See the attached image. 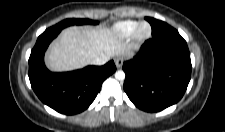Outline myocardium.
I'll use <instances>...</instances> for the list:
<instances>
[{
  "label": "myocardium",
  "instance_id": "f54148a6",
  "mask_svg": "<svg viewBox=\"0 0 225 132\" xmlns=\"http://www.w3.org/2000/svg\"><path fill=\"white\" fill-rule=\"evenodd\" d=\"M151 34H152V29L149 23L141 22L138 24V26L134 30L132 34V39L136 43H142L148 40Z\"/></svg>",
  "mask_w": 225,
  "mask_h": 132
}]
</instances>
